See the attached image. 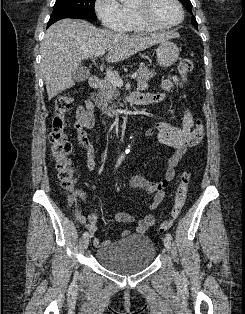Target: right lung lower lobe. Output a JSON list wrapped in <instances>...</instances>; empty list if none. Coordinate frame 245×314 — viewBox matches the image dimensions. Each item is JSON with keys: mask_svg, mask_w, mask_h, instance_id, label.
<instances>
[{"mask_svg": "<svg viewBox=\"0 0 245 314\" xmlns=\"http://www.w3.org/2000/svg\"><path fill=\"white\" fill-rule=\"evenodd\" d=\"M56 21H58V20L49 21L47 27H49L51 24H53Z\"/></svg>", "mask_w": 245, "mask_h": 314, "instance_id": "obj_1", "label": "right lung lower lobe"}]
</instances>
